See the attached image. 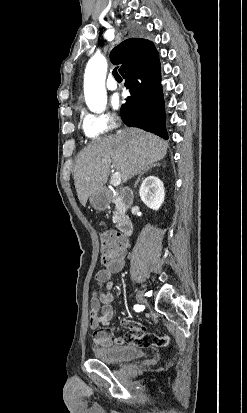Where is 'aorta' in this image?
Masks as SVG:
<instances>
[{"mask_svg": "<svg viewBox=\"0 0 247 413\" xmlns=\"http://www.w3.org/2000/svg\"><path fill=\"white\" fill-rule=\"evenodd\" d=\"M107 61L101 54L94 55L87 63L84 74V95L88 108L101 112L107 105L105 78Z\"/></svg>", "mask_w": 247, "mask_h": 413, "instance_id": "762f6f07", "label": "aorta"}]
</instances>
